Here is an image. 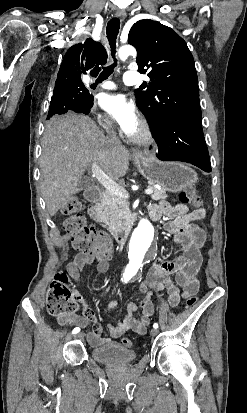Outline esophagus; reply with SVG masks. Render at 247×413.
I'll return each mask as SVG.
<instances>
[{"instance_id":"esophagus-1","label":"esophagus","mask_w":247,"mask_h":413,"mask_svg":"<svg viewBox=\"0 0 247 413\" xmlns=\"http://www.w3.org/2000/svg\"><path fill=\"white\" fill-rule=\"evenodd\" d=\"M116 17H118L121 20H124L126 18V13L125 12H117ZM131 152L133 157H138L139 155L142 154L141 150L137 147H132Z\"/></svg>"}]
</instances>
